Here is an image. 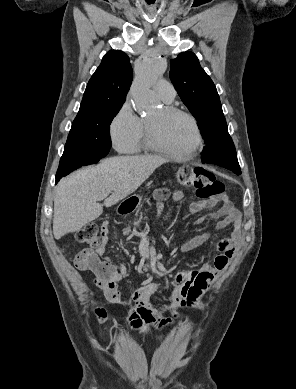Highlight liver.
I'll use <instances>...</instances> for the list:
<instances>
[{
  "label": "liver",
  "instance_id": "obj_1",
  "mask_svg": "<svg viewBox=\"0 0 296 389\" xmlns=\"http://www.w3.org/2000/svg\"><path fill=\"white\" fill-rule=\"evenodd\" d=\"M166 161L154 155L112 157L62 179L54 197L55 239L97 219L103 206L110 207L132 194ZM110 193L103 204L99 203L101 196Z\"/></svg>",
  "mask_w": 296,
  "mask_h": 389
}]
</instances>
